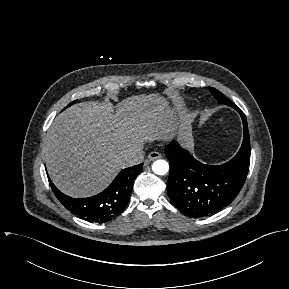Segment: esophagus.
I'll return each instance as SVG.
<instances>
[{"label":"esophagus","mask_w":289,"mask_h":289,"mask_svg":"<svg viewBox=\"0 0 289 289\" xmlns=\"http://www.w3.org/2000/svg\"><path fill=\"white\" fill-rule=\"evenodd\" d=\"M161 158V154L159 152L153 151L148 155V160L152 161V160H156Z\"/></svg>","instance_id":"1"}]
</instances>
